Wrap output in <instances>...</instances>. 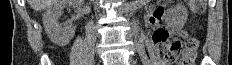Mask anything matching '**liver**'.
Wrapping results in <instances>:
<instances>
[{"mask_svg":"<svg viewBox=\"0 0 232 65\" xmlns=\"http://www.w3.org/2000/svg\"><path fill=\"white\" fill-rule=\"evenodd\" d=\"M55 0H28L29 5L34 11H41L53 5Z\"/></svg>","mask_w":232,"mask_h":65,"instance_id":"1","label":"liver"}]
</instances>
